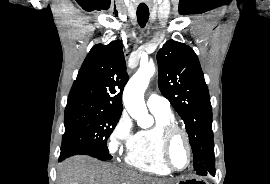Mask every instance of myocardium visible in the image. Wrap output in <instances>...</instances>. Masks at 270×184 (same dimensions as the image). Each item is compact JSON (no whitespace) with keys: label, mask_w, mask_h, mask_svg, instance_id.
<instances>
[{"label":"myocardium","mask_w":270,"mask_h":184,"mask_svg":"<svg viewBox=\"0 0 270 184\" xmlns=\"http://www.w3.org/2000/svg\"><path fill=\"white\" fill-rule=\"evenodd\" d=\"M160 152L163 164L171 171V172H182L187 170L192 163L193 160V149L190 142V138L188 133L180 127L177 123L171 122L163 125L160 129ZM181 135L185 141L187 151H188V162L183 168H176L170 161L169 152L173 139L177 136Z\"/></svg>","instance_id":"myocardium-1"}]
</instances>
